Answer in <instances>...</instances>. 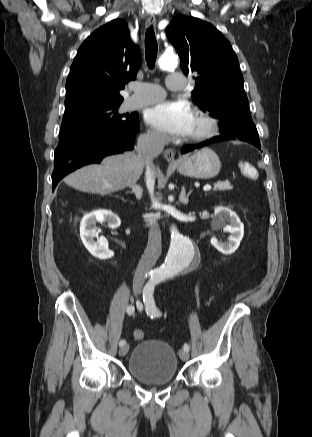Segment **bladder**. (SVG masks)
I'll list each match as a JSON object with an SVG mask.
<instances>
[{
  "label": "bladder",
  "instance_id": "31cf9c89",
  "mask_svg": "<svg viewBox=\"0 0 312 437\" xmlns=\"http://www.w3.org/2000/svg\"><path fill=\"white\" fill-rule=\"evenodd\" d=\"M128 372L134 379L145 384H168L177 376L176 353L165 341H142L130 354Z\"/></svg>",
  "mask_w": 312,
  "mask_h": 437
}]
</instances>
